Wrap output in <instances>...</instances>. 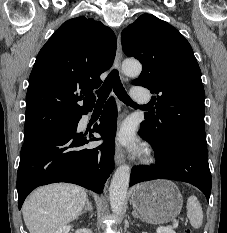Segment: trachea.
<instances>
[{"instance_id": "trachea-1", "label": "trachea", "mask_w": 227, "mask_h": 233, "mask_svg": "<svg viewBox=\"0 0 227 233\" xmlns=\"http://www.w3.org/2000/svg\"><path fill=\"white\" fill-rule=\"evenodd\" d=\"M114 91V93L117 95V97L124 102L126 105L130 106H137V104L130 98V96L125 91L120 77L119 73L116 69L112 70L108 77L106 78L104 84L102 87L97 91L98 95V101L96 102V105H103L106 101L109 93L111 91Z\"/></svg>"}]
</instances>
